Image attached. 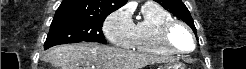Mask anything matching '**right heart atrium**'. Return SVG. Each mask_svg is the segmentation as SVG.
Instances as JSON below:
<instances>
[{"instance_id":"d8ad5b80","label":"right heart atrium","mask_w":246,"mask_h":69,"mask_svg":"<svg viewBox=\"0 0 246 69\" xmlns=\"http://www.w3.org/2000/svg\"><path fill=\"white\" fill-rule=\"evenodd\" d=\"M134 22L130 12L126 8H120L112 12L105 19L103 32L108 41L118 47L132 46Z\"/></svg>"}]
</instances>
